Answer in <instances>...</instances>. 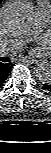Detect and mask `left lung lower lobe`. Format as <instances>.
Listing matches in <instances>:
<instances>
[{
    "mask_svg": "<svg viewBox=\"0 0 51 153\" xmlns=\"http://www.w3.org/2000/svg\"><path fill=\"white\" fill-rule=\"evenodd\" d=\"M43 86L51 92V83L43 84Z\"/></svg>",
    "mask_w": 51,
    "mask_h": 153,
    "instance_id": "0a47b994",
    "label": "left lung lower lobe"
}]
</instances>
